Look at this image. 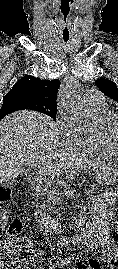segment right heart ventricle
<instances>
[{
    "label": "right heart ventricle",
    "mask_w": 118,
    "mask_h": 269,
    "mask_svg": "<svg viewBox=\"0 0 118 269\" xmlns=\"http://www.w3.org/2000/svg\"><path fill=\"white\" fill-rule=\"evenodd\" d=\"M91 112L101 123V128L91 134H88L86 140L81 146H79V150L85 154L118 157V154L112 149L109 142L107 141L102 129L103 122L107 120L112 114H114V112L107 106L105 108Z\"/></svg>",
    "instance_id": "right-heart-ventricle-1"
}]
</instances>
